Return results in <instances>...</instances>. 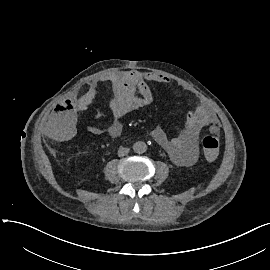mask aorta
<instances>
[{
    "label": "aorta",
    "instance_id": "obj_1",
    "mask_svg": "<svg viewBox=\"0 0 270 270\" xmlns=\"http://www.w3.org/2000/svg\"><path fill=\"white\" fill-rule=\"evenodd\" d=\"M133 150L137 154H142L147 150V145L142 141H137L132 146Z\"/></svg>",
    "mask_w": 270,
    "mask_h": 270
}]
</instances>
